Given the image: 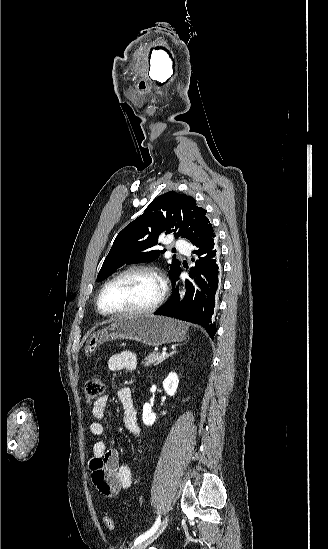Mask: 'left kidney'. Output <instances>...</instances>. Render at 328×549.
Listing matches in <instances>:
<instances>
[{"label":"left kidney","instance_id":"left-kidney-1","mask_svg":"<svg viewBox=\"0 0 328 549\" xmlns=\"http://www.w3.org/2000/svg\"><path fill=\"white\" fill-rule=\"evenodd\" d=\"M179 379L176 375V373H169L168 377L164 379L163 381V387L167 393V395H170V397H173L177 391ZM162 415H166V411H163ZM143 423L144 425H153L155 423L157 417L155 413L152 411L151 405L149 403H145L143 405Z\"/></svg>","mask_w":328,"mask_h":549}]
</instances>
